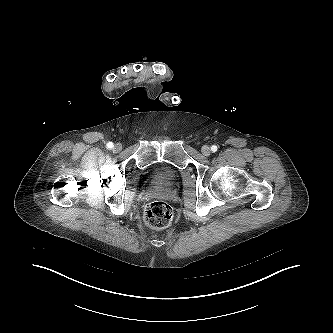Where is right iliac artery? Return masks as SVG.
Listing matches in <instances>:
<instances>
[{
	"mask_svg": "<svg viewBox=\"0 0 333 333\" xmlns=\"http://www.w3.org/2000/svg\"><path fill=\"white\" fill-rule=\"evenodd\" d=\"M107 147H108L109 149H111V148H113V147H114V145H113V143H112V142H109V143H107Z\"/></svg>",
	"mask_w": 333,
	"mask_h": 333,
	"instance_id": "obj_1",
	"label": "right iliac artery"
}]
</instances>
